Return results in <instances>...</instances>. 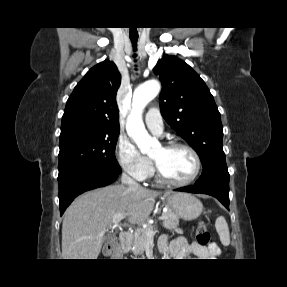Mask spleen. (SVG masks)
I'll use <instances>...</instances> for the list:
<instances>
[{
  "label": "spleen",
  "mask_w": 287,
  "mask_h": 287,
  "mask_svg": "<svg viewBox=\"0 0 287 287\" xmlns=\"http://www.w3.org/2000/svg\"><path fill=\"white\" fill-rule=\"evenodd\" d=\"M216 230L220 236V241L224 246H228L230 244V234L228 224L224 217L220 216L217 218L215 222Z\"/></svg>",
  "instance_id": "spleen-1"
}]
</instances>
